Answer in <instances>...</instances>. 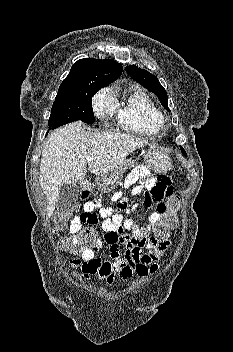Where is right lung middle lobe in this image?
<instances>
[{
	"label": "right lung middle lobe",
	"mask_w": 233,
	"mask_h": 352,
	"mask_svg": "<svg viewBox=\"0 0 233 352\" xmlns=\"http://www.w3.org/2000/svg\"><path fill=\"white\" fill-rule=\"evenodd\" d=\"M101 88L88 85L75 92L58 93L48 121L49 130L77 120L92 124L94 122L92 97Z\"/></svg>",
	"instance_id": "obj_1"
}]
</instances>
